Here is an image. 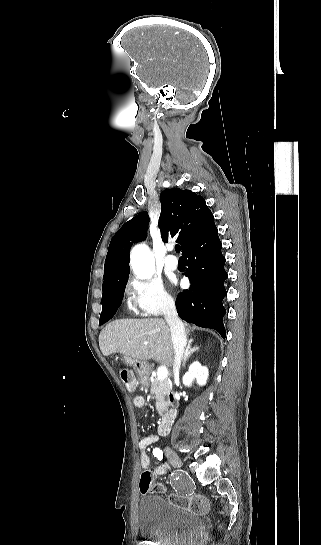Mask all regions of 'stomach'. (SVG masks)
<instances>
[{
  "label": "stomach",
  "instance_id": "stomach-1",
  "mask_svg": "<svg viewBox=\"0 0 321 545\" xmlns=\"http://www.w3.org/2000/svg\"><path fill=\"white\" fill-rule=\"evenodd\" d=\"M124 359H125V363H127L129 367H133L139 379L141 375H145V371H148L149 369L148 361H142V359H131V357H124Z\"/></svg>",
  "mask_w": 321,
  "mask_h": 545
}]
</instances>
